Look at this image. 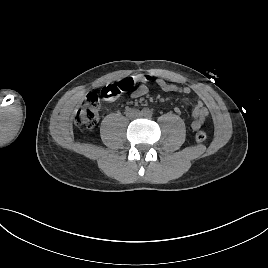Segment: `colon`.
<instances>
[{
    "label": "colon",
    "instance_id": "1",
    "mask_svg": "<svg viewBox=\"0 0 268 268\" xmlns=\"http://www.w3.org/2000/svg\"><path fill=\"white\" fill-rule=\"evenodd\" d=\"M135 83L136 79L134 77H128L120 82L103 87L100 94L89 93L84 104L75 113V123L87 129L93 128L99 119L101 99L114 100L121 93L132 89ZM206 138L207 135L204 130H198L195 133V140L197 142H204Z\"/></svg>",
    "mask_w": 268,
    "mask_h": 268
}]
</instances>
